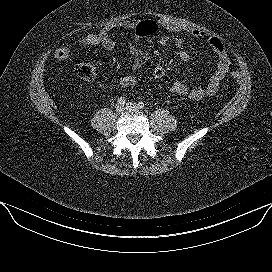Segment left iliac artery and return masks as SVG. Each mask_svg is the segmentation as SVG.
Here are the masks:
<instances>
[{
  "label": "left iliac artery",
  "mask_w": 272,
  "mask_h": 272,
  "mask_svg": "<svg viewBox=\"0 0 272 272\" xmlns=\"http://www.w3.org/2000/svg\"><path fill=\"white\" fill-rule=\"evenodd\" d=\"M138 106L140 109H144L145 108V104L143 102H139Z\"/></svg>",
  "instance_id": "44dca946"
}]
</instances>
